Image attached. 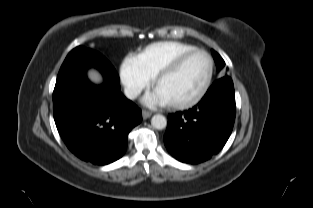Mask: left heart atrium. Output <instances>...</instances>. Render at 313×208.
Listing matches in <instances>:
<instances>
[{
    "label": "left heart atrium",
    "mask_w": 313,
    "mask_h": 208,
    "mask_svg": "<svg viewBox=\"0 0 313 208\" xmlns=\"http://www.w3.org/2000/svg\"><path fill=\"white\" fill-rule=\"evenodd\" d=\"M146 103H148L150 105H166V104H168L167 100L157 92H155L151 96H148L146 98Z\"/></svg>",
    "instance_id": "obj_1"
}]
</instances>
